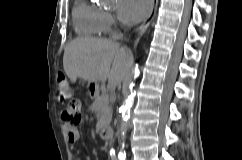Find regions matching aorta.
<instances>
[{
  "label": "aorta",
  "instance_id": "aorta-1",
  "mask_svg": "<svg viewBox=\"0 0 242 160\" xmlns=\"http://www.w3.org/2000/svg\"><path fill=\"white\" fill-rule=\"evenodd\" d=\"M130 106H131L130 99H127L125 104L122 106V122L120 124V130H121L123 135L125 134L126 128H127ZM124 158H125V153L120 151L119 154H118V159L124 160Z\"/></svg>",
  "mask_w": 242,
  "mask_h": 160
}]
</instances>
